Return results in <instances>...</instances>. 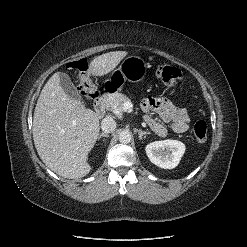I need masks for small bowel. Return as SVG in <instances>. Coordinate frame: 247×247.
I'll return each mask as SVG.
<instances>
[{
  "label": "small bowel",
  "mask_w": 247,
  "mask_h": 247,
  "mask_svg": "<svg viewBox=\"0 0 247 247\" xmlns=\"http://www.w3.org/2000/svg\"><path fill=\"white\" fill-rule=\"evenodd\" d=\"M142 110L146 113L144 121L158 136L167 134L166 126L154 119L150 113L159 115L162 121L171 126L175 133H184L189 128V116L185 108L178 107L173 100L167 97H150L141 103Z\"/></svg>",
  "instance_id": "c3829d8e"
}]
</instances>
